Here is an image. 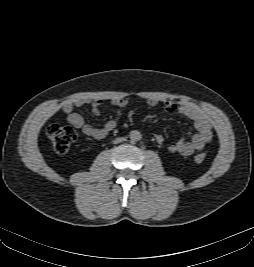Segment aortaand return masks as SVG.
<instances>
[{
    "label": "aorta",
    "instance_id": "obj_1",
    "mask_svg": "<svg viewBox=\"0 0 254 267\" xmlns=\"http://www.w3.org/2000/svg\"><path fill=\"white\" fill-rule=\"evenodd\" d=\"M129 136H130V140L132 142H137V141L141 140V138H142V135L138 130L131 131Z\"/></svg>",
    "mask_w": 254,
    "mask_h": 267
}]
</instances>
